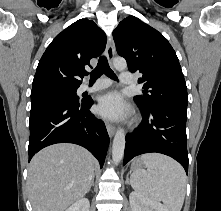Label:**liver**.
<instances>
[{"mask_svg":"<svg viewBox=\"0 0 221 211\" xmlns=\"http://www.w3.org/2000/svg\"><path fill=\"white\" fill-rule=\"evenodd\" d=\"M95 158L83 147L54 144L39 151L28 167L33 211H65L88 192Z\"/></svg>","mask_w":221,"mask_h":211,"instance_id":"1","label":"liver"}]
</instances>
